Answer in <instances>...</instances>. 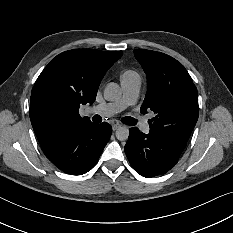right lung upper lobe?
Returning a JSON list of instances; mask_svg holds the SVG:
<instances>
[{
    "label": "right lung upper lobe",
    "mask_w": 233,
    "mask_h": 233,
    "mask_svg": "<svg viewBox=\"0 0 233 233\" xmlns=\"http://www.w3.org/2000/svg\"><path fill=\"white\" fill-rule=\"evenodd\" d=\"M122 54L74 49L51 60L31 94L30 120L39 142L91 123L88 117L79 115L80 105L95 101L103 76Z\"/></svg>",
    "instance_id": "cb5924a9"
}]
</instances>
